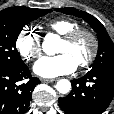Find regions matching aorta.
Here are the masks:
<instances>
[{"instance_id": "obj_1", "label": "aorta", "mask_w": 114, "mask_h": 114, "mask_svg": "<svg viewBox=\"0 0 114 114\" xmlns=\"http://www.w3.org/2000/svg\"><path fill=\"white\" fill-rule=\"evenodd\" d=\"M57 39L58 37L56 35H47L42 44L43 51L49 55L54 54V44ZM56 89L61 94H67L71 90V83L67 79H61L57 82Z\"/></svg>"}]
</instances>
